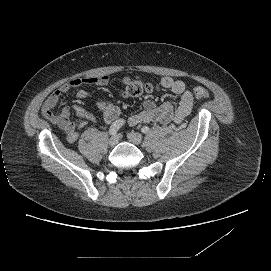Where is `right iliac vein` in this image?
<instances>
[{"mask_svg": "<svg viewBox=\"0 0 271 271\" xmlns=\"http://www.w3.org/2000/svg\"><path fill=\"white\" fill-rule=\"evenodd\" d=\"M119 141V138L118 136H112L110 139H109V145L110 146H115Z\"/></svg>", "mask_w": 271, "mask_h": 271, "instance_id": "1", "label": "right iliac vein"}]
</instances>
